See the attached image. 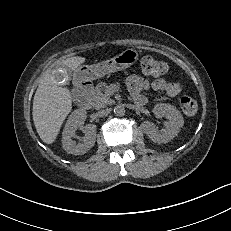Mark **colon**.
Segmentation results:
<instances>
[{"instance_id": "colon-1", "label": "colon", "mask_w": 231, "mask_h": 231, "mask_svg": "<svg viewBox=\"0 0 231 231\" xmlns=\"http://www.w3.org/2000/svg\"><path fill=\"white\" fill-rule=\"evenodd\" d=\"M141 70L149 77L158 78L167 73L168 67L163 61L152 56H145L141 60ZM180 106L186 115H194L198 108L196 100L190 96H183L180 99Z\"/></svg>"}]
</instances>
